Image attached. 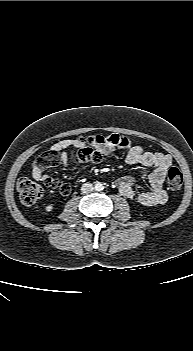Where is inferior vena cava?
Returning <instances> with one entry per match:
<instances>
[{"label":"inferior vena cava","instance_id":"obj_1","mask_svg":"<svg viewBox=\"0 0 193 351\" xmlns=\"http://www.w3.org/2000/svg\"><path fill=\"white\" fill-rule=\"evenodd\" d=\"M94 190V187L91 183L87 182V183H84L81 187V191L82 193L84 194H89L91 193L92 191Z\"/></svg>","mask_w":193,"mask_h":351}]
</instances>
